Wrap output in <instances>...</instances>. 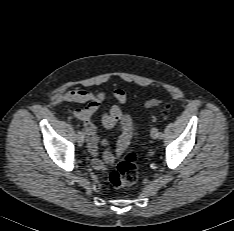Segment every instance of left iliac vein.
Instances as JSON below:
<instances>
[{
  "label": "left iliac vein",
  "mask_w": 234,
  "mask_h": 231,
  "mask_svg": "<svg viewBox=\"0 0 234 231\" xmlns=\"http://www.w3.org/2000/svg\"><path fill=\"white\" fill-rule=\"evenodd\" d=\"M151 137H152L153 139H157V138H158V130H157L156 128H153V129L151 130Z\"/></svg>",
  "instance_id": "4c4485c4"
}]
</instances>
